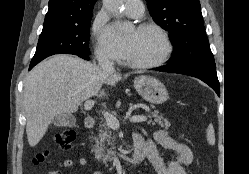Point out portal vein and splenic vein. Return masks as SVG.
<instances>
[{
  "mask_svg": "<svg viewBox=\"0 0 249 174\" xmlns=\"http://www.w3.org/2000/svg\"><path fill=\"white\" fill-rule=\"evenodd\" d=\"M93 106H94L93 100H87L84 103L85 110H90ZM102 114L106 120L108 127H110L113 130H117L119 128L120 126L119 121L114 115L106 111H103ZM146 120H147V117L145 115H135L130 118V121L134 123H139V122H143Z\"/></svg>",
  "mask_w": 249,
  "mask_h": 174,
  "instance_id": "obj_1",
  "label": "portal vein and splenic vein"
}]
</instances>
